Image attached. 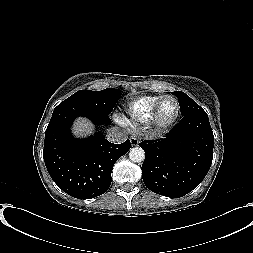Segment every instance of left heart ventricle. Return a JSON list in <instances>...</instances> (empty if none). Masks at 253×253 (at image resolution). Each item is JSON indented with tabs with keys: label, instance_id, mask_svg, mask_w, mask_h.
<instances>
[{
	"label": "left heart ventricle",
	"instance_id": "1",
	"mask_svg": "<svg viewBox=\"0 0 253 253\" xmlns=\"http://www.w3.org/2000/svg\"><path fill=\"white\" fill-rule=\"evenodd\" d=\"M176 112V104L172 99H165L159 110V120L166 122L170 120Z\"/></svg>",
	"mask_w": 253,
	"mask_h": 253
}]
</instances>
